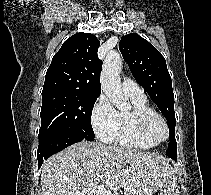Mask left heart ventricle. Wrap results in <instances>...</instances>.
<instances>
[{
    "label": "left heart ventricle",
    "instance_id": "b2bd125f",
    "mask_svg": "<svg viewBox=\"0 0 211 195\" xmlns=\"http://www.w3.org/2000/svg\"><path fill=\"white\" fill-rule=\"evenodd\" d=\"M149 134L156 141H162L165 138V128L159 120H154L149 126Z\"/></svg>",
    "mask_w": 211,
    "mask_h": 195
}]
</instances>
